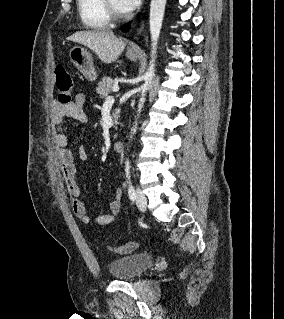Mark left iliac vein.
I'll return each instance as SVG.
<instances>
[{"label":"left iliac vein","instance_id":"4c4485c4","mask_svg":"<svg viewBox=\"0 0 284 319\" xmlns=\"http://www.w3.org/2000/svg\"><path fill=\"white\" fill-rule=\"evenodd\" d=\"M136 205L141 211H145L147 207V199L141 190H136Z\"/></svg>","mask_w":284,"mask_h":319}]
</instances>
